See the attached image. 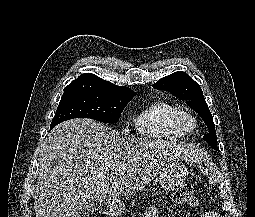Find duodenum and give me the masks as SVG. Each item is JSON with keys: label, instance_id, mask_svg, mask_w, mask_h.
<instances>
[{"label": "duodenum", "instance_id": "410a0bca", "mask_svg": "<svg viewBox=\"0 0 255 217\" xmlns=\"http://www.w3.org/2000/svg\"><path fill=\"white\" fill-rule=\"evenodd\" d=\"M99 212L102 214H109L112 211V206L107 203H102L99 206Z\"/></svg>", "mask_w": 255, "mask_h": 217}]
</instances>
